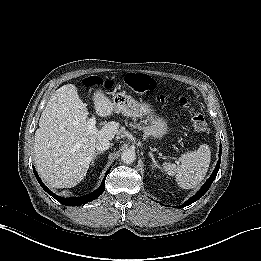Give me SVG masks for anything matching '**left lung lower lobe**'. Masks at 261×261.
<instances>
[{"label": "left lung lower lobe", "mask_w": 261, "mask_h": 261, "mask_svg": "<svg viewBox=\"0 0 261 261\" xmlns=\"http://www.w3.org/2000/svg\"><path fill=\"white\" fill-rule=\"evenodd\" d=\"M219 153H220L219 158H221V149H220ZM220 161H221V159L218 160L216 168L214 169L212 175L209 177V179L206 181V183L202 186V188L193 197H191L189 200H187L181 207H186V206L192 204L193 202L200 199L208 191L210 185L212 184V182L214 181V179L218 173V170L220 167ZM178 208H180V207H178Z\"/></svg>", "instance_id": "left-lung-lower-lobe-1"}]
</instances>
